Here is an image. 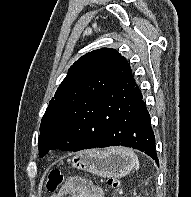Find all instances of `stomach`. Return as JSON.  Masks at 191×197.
I'll return each instance as SVG.
<instances>
[{
    "label": "stomach",
    "instance_id": "stomach-1",
    "mask_svg": "<svg viewBox=\"0 0 191 197\" xmlns=\"http://www.w3.org/2000/svg\"><path fill=\"white\" fill-rule=\"evenodd\" d=\"M119 149L121 148H110L104 151L85 150L79 152L72 158V165L77 169L101 177H124L130 173L136 162L122 154Z\"/></svg>",
    "mask_w": 191,
    "mask_h": 197
}]
</instances>
